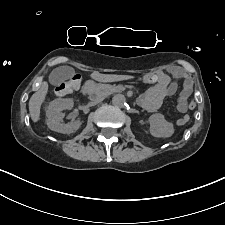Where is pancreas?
Listing matches in <instances>:
<instances>
[{
  "mask_svg": "<svg viewBox=\"0 0 225 225\" xmlns=\"http://www.w3.org/2000/svg\"><path fill=\"white\" fill-rule=\"evenodd\" d=\"M97 89L103 92V94L108 95L114 92H120L125 90L124 86L121 85H109V84H99Z\"/></svg>",
  "mask_w": 225,
  "mask_h": 225,
  "instance_id": "pancreas-1",
  "label": "pancreas"
}]
</instances>
